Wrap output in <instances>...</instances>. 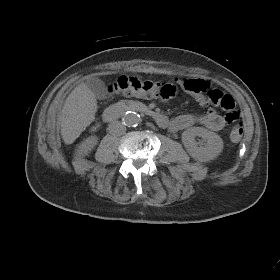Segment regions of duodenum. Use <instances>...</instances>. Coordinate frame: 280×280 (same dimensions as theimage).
Masks as SVG:
<instances>
[{
    "label": "duodenum",
    "mask_w": 280,
    "mask_h": 280,
    "mask_svg": "<svg viewBox=\"0 0 280 280\" xmlns=\"http://www.w3.org/2000/svg\"><path fill=\"white\" fill-rule=\"evenodd\" d=\"M126 111H138V112L146 113L147 115L152 117L160 127H166L169 123L168 117H166L165 115L159 112L151 110L140 103H131V104L122 103V104L112 105L104 111L103 120L105 122H113Z\"/></svg>",
    "instance_id": "410a0bca"
}]
</instances>
